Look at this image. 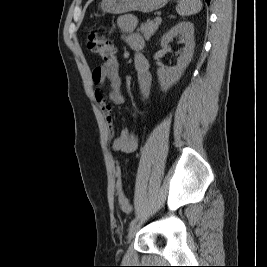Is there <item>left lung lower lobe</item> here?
<instances>
[{"label":"left lung lower lobe","mask_w":267,"mask_h":267,"mask_svg":"<svg viewBox=\"0 0 267 267\" xmlns=\"http://www.w3.org/2000/svg\"><path fill=\"white\" fill-rule=\"evenodd\" d=\"M205 1L207 2V4H209L211 0H205Z\"/></svg>","instance_id":"left-lung-lower-lobe-1"}]
</instances>
